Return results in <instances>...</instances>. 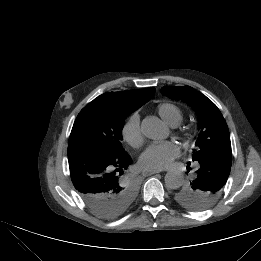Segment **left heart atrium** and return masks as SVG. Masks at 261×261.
<instances>
[{
  "label": "left heart atrium",
  "instance_id": "obj_1",
  "mask_svg": "<svg viewBox=\"0 0 261 261\" xmlns=\"http://www.w3.org/2000/svg\"><path fill=\"white\" fill-rule=\"evenodd\" d=\"M180 147L173 141L152 143L141 153L140 166L147 170H161L170 166L179 155Z\"/></svg>",
  "mask_w": 261,
  "mask_h": 261
}]
</instances>
